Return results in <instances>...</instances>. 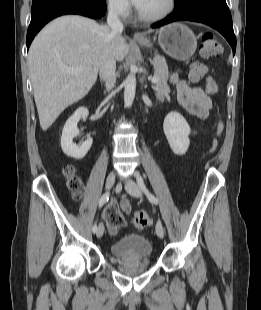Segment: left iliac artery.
<instances>
[{"label":"left iliac artery","mask_w":261,"mask_h":310,"mask_svg":"<svg viewBox=\"0 0 261 310\" xmlns=\"http://www.w3.org/2000/svg\"><path fill=\"white\" fill-rule=\"evenodd\" d=\"M136 179H137V184H138L139 188L145 193V195L150 200V202H152L154 204H158L157 198L148 191V189L144 183V180L139 173L136 174Z\"/></svg>","instance_id":"left-iliac-artery-1"}]
</instances>
